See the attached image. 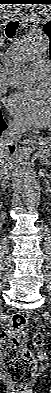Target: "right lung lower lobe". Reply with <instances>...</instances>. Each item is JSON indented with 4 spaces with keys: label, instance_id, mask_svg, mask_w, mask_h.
I'll return each instance as SVG.
<instances>
[{
    "label": "right lung lower lobe",
    "instance_id": "1",
    "mask_svg": "<svg viewBox=\"0 0 51 393\" xmlns=\"http://www.w3.org/2000/svg\"><path fill=\"white\" fill-rule=\"evenodd\" d=\"M6 128H7V125H6V123L4 122V120L2 119V117L0 115V134H1V131H3ZM9 148H10L11 152L14 151V146H9Z\"/></svg>",
    "mask_w": 51,
    "mask_h": 393
}]
</instances>
